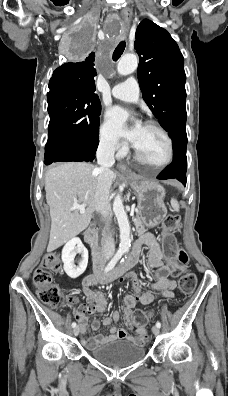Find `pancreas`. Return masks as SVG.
Wrapping results in <instances>:
<instances>
[{"instance_id":"pancreas-1","label":"pancreas","mask_w":228,"mask_h":396,"mask_svg":"<svg viewBox=\"0 0 228 396\" xmlns=\"http://www.w3.org/2000/svg\"><path fill=\"white\" fill-rule=\"evenodd\" d=\"M133 219H134L133 220L134 226L136 227L138 234H140L139 236L144 235L145 231L143 229V223L140 222L137 215H134ZM103 240H104V238H102V243H103Z\"/></svg>"}]
</instances>
